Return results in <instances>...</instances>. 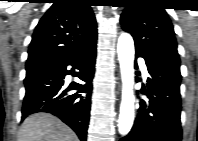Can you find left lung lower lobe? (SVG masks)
Listing matches in <instances>:
<instances>
[{
	"instance_id": "1",
	"label": "left lung lower lobe",
	"mask_w": 198,
	"mask_h": 141,
	"mask_svg": "<svg viewBox=\"0 0 198 141\" xmlns=\"http://www.w3.org/2000/svg\"><path fill=\"white\" fill-rule=\"evenodd\" d=\"M136 57L143 56L136 53ZM145 61L148 90L141 92L148 100H140L139 116L121 141H181L180 68L168 62Z\"/></svg>"
}]
</instances>
